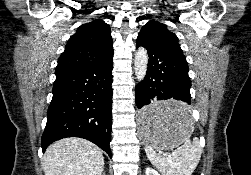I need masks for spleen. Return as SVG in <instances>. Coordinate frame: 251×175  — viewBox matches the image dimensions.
I'll use <instances>...</instances> for the list:
<instances>
[{
	"instance_id": "obj_1",
	"label": "spleen",
	"mask_w": 251,
	"mask_h": 175,
	"mask_svg": "<svg viewBox=\"0 0 251 175\" xmlns=\"http://www.w3.org/2000/svg\"><path fill=\"white\" fill-rule=\"evenodd\" d=\"M160 121H162V119H149V131L153 137H155L159 131ZM193 123L194 121L191 119L190 111H188L187 107H183L179 125L182 133H185L186 137L183 145H180V147L172 153V157H166V155L156 153L152 145L147 143L145 149L146 155L151 163L160 169L162 175H191L192 171L197 167V163H199L201 157L202 147L198 137H194L193 141L189 139L191 131L194 129Z\"/></svg>"
}]
</instances>
